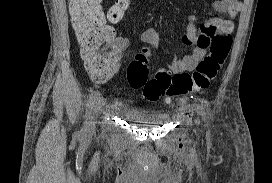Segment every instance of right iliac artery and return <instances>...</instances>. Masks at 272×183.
Here are the masks:
<instances>
[{"instance_id":"right-iliac-artery-1","label":"right iliac artery","mask_w":272,"mask_h":183,"mask_svg":"<svg viewBox=\"0 0 272 183\" xmlns=\"http://www.w3.org/2000/svg\"><path fill=\"white\" fill-rule=\"evenodd\" d=\"M99 92L98 91H94L89 95L87 104H86V113H85V121H84V126L81 129L82 134L85 133L86 129H87V125L89 124V119L91 117V112H92V108L94 107V104L96 102V100L99 97Z\"/></svg>"}]
</instances>
